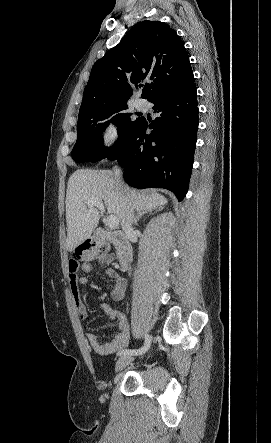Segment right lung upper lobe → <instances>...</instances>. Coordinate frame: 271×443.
<instances>
[{
    "mask_svg": "<svg viewBox=\"0 0 271 443\" xmlns=\"http://www.w3.org/2000/svg\"><path fill=\"white\" fill-rule=\"evenodd\" d=\"M148 101L194 79L188 53L176 31L160 21H143L93 65L84 89L80 118L103 116L126 106L142 87Z\"/></svg>",
    "mask_w": 271,
    "mask_h": 443,
    "instance_id": "right-lung-upper-lobe-1",
    "label": "right lung upper lobe"
}]
</instances>
